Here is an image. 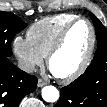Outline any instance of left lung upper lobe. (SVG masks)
<instances>
[{
  "label": "left lung upper lobe",
  "instance_id": "1",
  "mask_svg": "<svg viewBox=\"0 0 107 107\" xmlns=\"http://www.w3.org/2000/svg\"><path fill=\"white\" fill-rule=\"evenodd\" d=\"M95 28H96V35H97V40H98V48L96 51V54L94 56V59L91 63V65L86 69L85 73L83 75H81L78 79H76L74 82L76 83H82V84H89L90 83V75L92 72V66L95 63L96 57H97V53L99 50H102L103 52H105V54L107 55V29L103 26V24L100 22V20L93 15L92 13L90 14ZM106 63H107V58L105 59Z\"/></svg>",
  "mask_w": 107,
  "mask_h": 107
}]
</instances>
